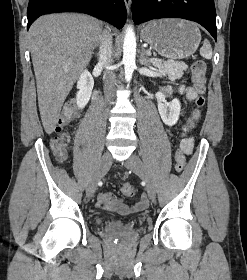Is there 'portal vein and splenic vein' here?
<instances>
[{"label": "portal vein and splenic vein", "instance_id": "1", "mask_svg": "<svg viewBox=\"0 0 247 280\" xmlns=\"http://www.w3.org/2000/svg\"><path fill=\"white\" fill-rule=\"evenodd\" d=\"M148 54H150V52H148ZM151 62H161L162 59H158V58H151L150 59Z\"/></svg>", "mask_w": 247, "mask_h": 280}]
</instances>
